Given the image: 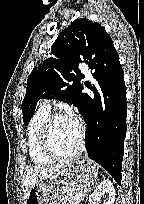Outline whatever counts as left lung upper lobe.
I'll return each instance as SVG.
<instances>
[{
    "label": "left lung upper lobe",
    "mask_w": 144,
    "mask_h": 204,
    "mask_svg": "<svg viewBox=\"0 0 144 204\" xmlns=\"http://www.w3.org/2000/svg\"><path fill=\"white\" fill-rule=\"evenodd\" d=\"M57 59H46L35 67L28 80L22 102L23 122L27 124L39 99H58L75 105L83 113V79L78 69L81 59L89 67L111 69L119 56L112 39L99 23L76 19L51 46ZM72 83V84H70Z\"/></svg>",
    "instance_id": "left-lung-upper-lobe-1"
}]
</instances>
